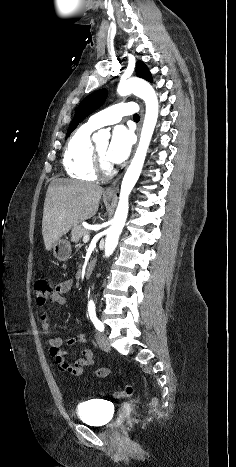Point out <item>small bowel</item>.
Listing matches in <instances>:
<instances>
[{
    "label": "small bowel",
    "instance_id": "c3829d8e",
    "mask_svg": "<svg viewBox=\"0 0 236 467\" xmlns=\"http://www.w3.org/2000/svg\"><path fill=\"white\" fill-rule=\"evenodd\" d=\"M73 286L72 280H64L60 282L53 290L50 301L56 305L61 306L65 303L66 299L65 296L70 293ZM50 310L48 308H44L40 314V320L42 323V327L44 332L48 333L50 331L49 328V319H50ZM76 325L79 328H82L83 323L80 319L76 321ZM86 336L84 333H79L76 337H68L64 338L62 336H56L53 338L48 339L49 351L51 356L54 359L56 367L58 370L67 375L71 376H81L83 374L84 368L86 366L93 364V357L94 354L90 349H82L81 356L74 361V363L70 364L67 362V351L63 350L61 346L66 343L68 345H74L76 343H85ZM110 373L108 368H100L96 371V375L99 377H105Z\"/></svg>",
    "mask_w": 236,
    "mask_h": 467
}]
</instances>
